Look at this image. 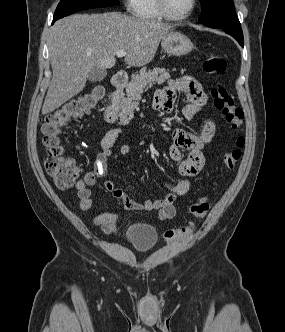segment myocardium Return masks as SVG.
<instances>
[{
  "label": "myocardium",
  "instance_id": "1",
  "mask_svg": "<svg viewBox=\"0 0 285 332\" xmlns=\"http://www.w3.org/2000/svg\"><path fill=\"white\" fill-rule=\"evenodd\" d=\"M156 3H157L159 12L165 19H168L171 21H182V20L187 19L193 13V11L197 5V0H191V5H190L189 9L184 14L179 15V16L173 15L169 11L166 0H156Z\"/></svg>",
  "mask_w": 285,
  "mask_h": 332
}]
</instances>
